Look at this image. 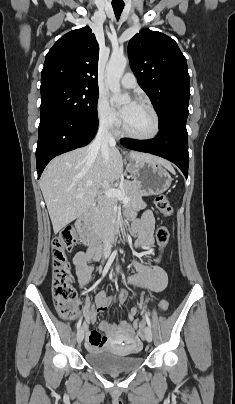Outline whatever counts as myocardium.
Instances as JSON below:
<instances>
[{"instance_id":"obj_1","label":"myocardium","mask_w":235,"mask_h":404,"mask_svg":"<svg viewBox=\"0 0 235 404\" xmlns=\"http://www.w3.org/2000/svg\"><path fill=\"white\" fill-rule=\"evenodd\" d=\"M135 103L147 108L150 111V113L152 114L153 119H154L153 130L150 134L144 135V136L133 134L127 130V128L125 127L124 121L122 119L121 120L122 134L124 136H126L130 139L136 140V141H150V140L155 139L160 132V118H159V115H158L156 109L153 107V105L151 103H149L148 101H146L144 99H137L135 101Z\"/></svg>"}]
</instances>
